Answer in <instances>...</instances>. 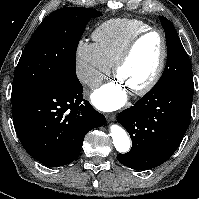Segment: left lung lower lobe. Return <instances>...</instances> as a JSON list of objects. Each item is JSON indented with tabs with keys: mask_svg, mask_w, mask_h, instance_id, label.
Instances as JSON below:
<instances>
[{
	"mask_svg": "<svg viewBox=\"0 0 199 199\" xmlns=\"http://www.w3.org/2000/svg\"><path fill=\"white\" fill-rule=\"evenodd\" d=\"M194 85H175L148 92L117 121L128 131L132 148L118 161L135 170H148L167 161L179 147L190 124Z\"/></svg>",
	"mask_w": 199,
	"mask_h": 199,
	"instance_id": "1",
	"label": "left lung lower lobe"
}]
</instances>
